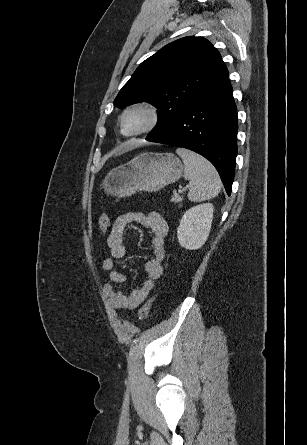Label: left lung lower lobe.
Segmentation results:
<instances>
[{
    "mask_svg": "<svg viewBox=\"0 0 307 445\" xmlns=\"http://www.w3.org/2000/svg\"><path fill=\"white\" fill-rule=\"evenodd\" d=\"M237 109L228 76L183 111L166 129L146 138L197 152L217 169L228 195L237 155Z\"/></svg>",
    "mask_w": 307,
    "mask_h": 445,
    "instance_id": "1",
    "label": "left lung lower lobe"
}]
</instances>
